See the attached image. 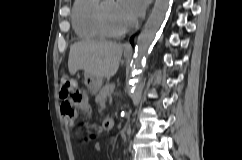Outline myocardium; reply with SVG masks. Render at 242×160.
<instances>
[{"label": "myocardium", "mask_w": 242, "mask_h": 160, "mask_svg": "<svg viewBox=\"0 0 242 160\" xmlns=\"http://www.w3.org/2000/svg\"><path fill=\"white\" fill-rule=\"evenodd\" d=\"M104 1L105 0H99L95 8L94 17L99 31L103 36L107 38H119L124 36L130 30V26L128 25L127 27L119 31H113L109 29L108 26L106 25L105 18H104V11H103Z\"/></svg>", "instance_id": "myocardium-1"}]
</instances>
